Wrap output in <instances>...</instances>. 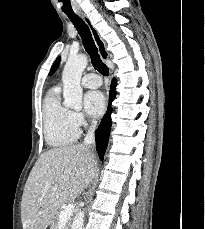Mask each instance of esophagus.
<instances>
[{
    "label": "esophagus",
    "mask_w": 205,
    "mask_h": 229,
    "mask_svg": "<svg viewBox=\"0 0 205 229\" xmlns=\"http://www.w3.org/2000/svg\"><path fill=\"white\" fill-rule=\"evenodd\" d=\"M81 17L90 29V32H91L93 40H94V42L98 48V52L100 54L101 59L103 61H107L109 54L107 52L106 45H105L104 41L102 40V38L100 37L97 29L95 28V26L93 25V23L89 19V17H87L86 15H82Z\"/></svg>",
    "instance_id": "1"
}]
</instances>
